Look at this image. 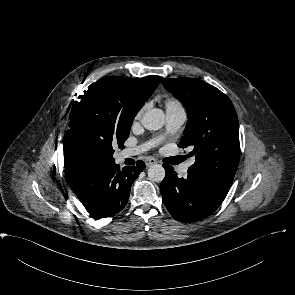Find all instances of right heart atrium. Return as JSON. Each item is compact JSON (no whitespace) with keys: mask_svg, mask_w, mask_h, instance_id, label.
<instances>
[{"mask_svg":"<svg viewBox=\"0 0 295 295\" xmlns=\"http://www.w3.org/2000/svg\"><path fill=\"white\" fill-rule=\"evenodd\" d=\"M147 107V104H145L135 115V119H139L143 113V111L145 110V108Z\"/></svg>","mask_w":295,"mask_h":295,"instance_id":"d8ad5b80","label":"right heart atrium"}]
</instances>
